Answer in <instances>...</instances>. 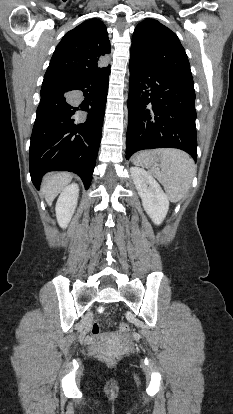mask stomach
Masks as SVG:
<instances>
[{
  "mask_svg": "<svg viewBox=\"0 0 233 414\" xmlns=\"http://www.w3.org/2000/svg\"><path fill=\"white\" fill-rule=\"evenodd\" d=\"M138 156L140 160L148 166L158 165V162L161 161V156L157 153V151L141 152Z\"/></svg>",
  "mask_w": 233,
  "mask_h": 414,
  "instance_id": "0dacf381",
  "label": "stomach"
}]
</instances>
